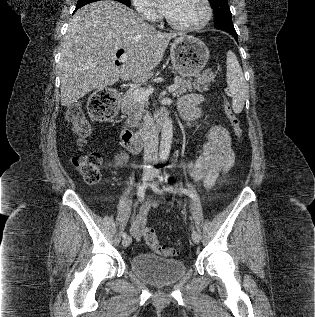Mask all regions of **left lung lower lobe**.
Returning a JSON list of instances; mask_svg holds the SVG:
<instances>
[{"label":"left lung lower lobe","instance_id":"1","mask_svg":"<svg viewBox=\"0 0 315 317\" xmlns=\"http://www.w3.org/2000/svg\"><path fill=\"white\" fill-rule=\"evenodd\" d=\"M224 31H226L229 34H231L235 38V40L238 42L237 33H236L235 30L234 31L233 30H224Z\"/></svg>","mask_w":315,"mask_h":317}]
</instances>
